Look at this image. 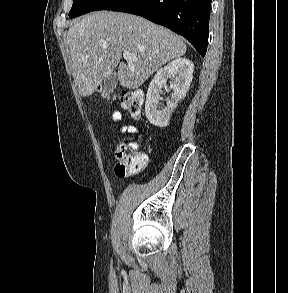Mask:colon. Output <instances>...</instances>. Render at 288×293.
<instances>
[{"mask_svg":"<svg viewBox=\"0 0 288 293\" xmlns=\"http://www.w3.org/2000/svg\"><path fill=\"white\" fill-rule=\"evenodd\" d=\"M122 108L132 117L138 118L144 102L143 92L140 90H128L120 96ZM115 172L118 176L136 174L146 164L144 154L136 151L134 144L119 143L115 150Z\"/></svg>","mask_w":288,"mask_h":293,"instance_id":"1","label":"colon"}]
</instances>
